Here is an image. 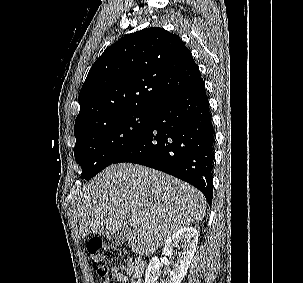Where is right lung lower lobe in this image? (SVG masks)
Segmentation results:
<instances>
[{"mask_svg":"<svg viewBox=\"0 0 303 283\" xmlns=\"http://www.w3.org/2000/svg\"><path fill=\"white\" fill-rule=\"evenodd\" d=\"M214 129L203 79L152 111L141 137L114 163L148 166L199 189L212 202Z\"/></svg>","mask_w":303,"mask_h":283,"instance_id":"obj_1","label":"right lung lower lobe"}]
</instances>
